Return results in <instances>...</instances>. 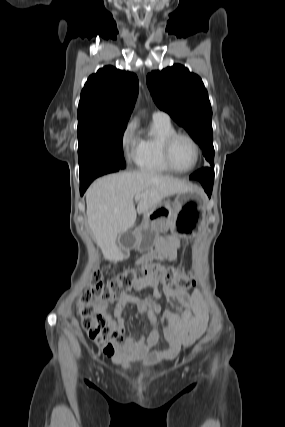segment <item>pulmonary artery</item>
Segmentation results:
<instances>
[{"label":"pulmonary artery","instance_id":"e3ab8cb5","mask_svg":"<svg viewBox=\"0 0 285 427\" xmlns=\"http://www.w3.org/2000/svg\"><path fill=\"white\" fill-rule=\"evenodd\" d=\"M153 118H159V119H164V120H170V116L161 110H155L152 114Z\"/></svg>","mask_w":285,"mask_h":427}]
</instances>
